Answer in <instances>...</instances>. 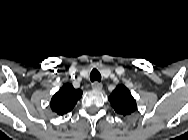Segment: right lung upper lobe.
<instances>
[{
  "label": "right lung upper lobe",
  "instance_id": "right-lung-upper-lobe-1",
  "mask_svg": "<svg viewBox=\"0 0 188 140\" xmlns=\"http://www.w3.org/2000/svg\"><path fill=\"white\" fill-rule=\"evenodd\" d=\"M81 97L80 89H74L71 84L66 83L52 97L50 107L56 114L63 115L70 112Z\"/></svg>",
  "mask_w": 188,
  "mask_h": 140
}]
</instances>
